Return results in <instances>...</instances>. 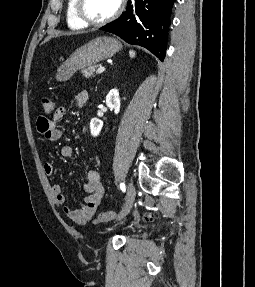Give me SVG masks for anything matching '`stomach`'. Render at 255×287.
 <instances>
[{
  "mask_svg": "<svg viewBox=\"0 0 255 287\" xmlns=\"http://www.w3.org/2000/svg\"><path fill=\"white\" fill-rule=\"evenodd\" d=\"M122 46L118 42L117 38H108V36H100V38H94L88 44L77 48L73 54H71L69 60L65 64V68H62L56 76V80L59 82H65L70 80L73 74L77 70L82 68H90L95 66L102 60H108L112 58L116 52L121 50Z\"/></svg>",
  "mask_w": 255,
  "mask_h": 287,
  "instance_id": "0dacf381",
  "label": "stomach"
}]
</instances>
